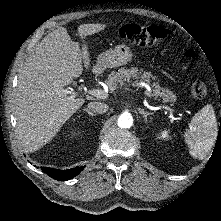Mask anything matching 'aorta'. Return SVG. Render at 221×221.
Wrapping results in <instances>:
<instances>
[{
    "mask_svg": "<svg viewBox=\"0 0 221 221\" xmlns=\"http://www.w3.org/2000/svg\"><path fill=\"white\" fill-rule=\"evenodd\" d=\"M133 125V117L130 113H122L118 118L120 128H130Z\"/></svg>",
    "mask_w": 221,
    "mask_h": 221,
    "instance_id": "1",
    "label": "aorta"
}]
</instances>
